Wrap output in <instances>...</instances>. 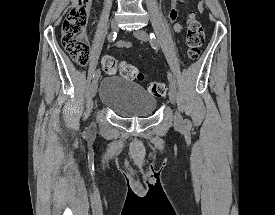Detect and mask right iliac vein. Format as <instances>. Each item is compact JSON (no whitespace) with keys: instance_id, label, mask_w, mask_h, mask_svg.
Returning <instances> with one entry per match:
<instances>
[{"instance_id":"obj_1","label":"right iliac vein","mask_w":275,"mask_h":215,"mask_svg":"<svg viewBox=\"0 0 275 215\" xmlns=\"http://www.w3.org/2000/svg\"><path fill=\"white\" fill-rule=\"evenodd\" d=\"M111 28L112 30H117L118 29V22L117 20H113L112 23H111ZM97 88H98V77L95 78L91 84V95L92 97H94L97 93Z\"/></svg>"}]
</instances>
